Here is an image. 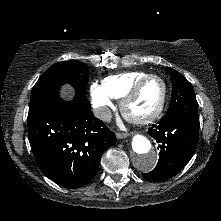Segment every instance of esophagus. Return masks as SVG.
I'll return each mask as SVG.
<instances>
[{
	"label": "esophagus",
	"instance_id": "1",
	"mask_svg": "<svg viewBox=\"0 0 221 221\" xmlns=\"http://www.w3.org/2000/svg\"><path fill=\"white\" fill-rule=\"evenodd\" d=\"M127 136H128L127 133H121V132L116 133V137L118 139L126 138Z\"/></svg>",
	"mask_w": 221,
	"mask_h": 221
}]
</instances>
